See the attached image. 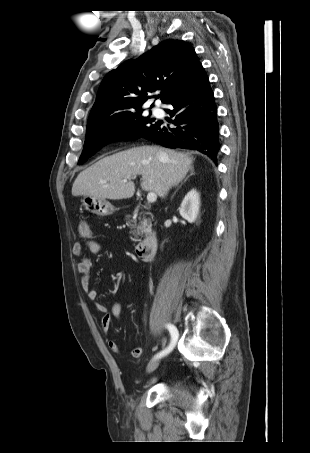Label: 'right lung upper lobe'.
I'll return each instance as SVG.
<instances>
[{"instance_id": "obj_1", "label": "right lung upper lobe", "mask_w": 310, "mask_h": 453, "mask_svg": "<svg viewBox=\"0 0 310 453\" xmlns=\"http://www.w3.org/2000/svg\"><path fill=\"white\" fill-rule=\"evenodd\" d=\"M202 65L194 49L181 40H166L137 59L127 60L102 80L87 128L141 110L149 93L161 91L167 103Z\"/></svg>"}]
</instances>
